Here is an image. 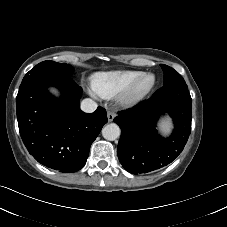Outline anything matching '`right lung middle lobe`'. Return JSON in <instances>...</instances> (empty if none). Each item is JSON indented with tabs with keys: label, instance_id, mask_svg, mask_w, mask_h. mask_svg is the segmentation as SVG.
<instances>
[{
	"label": "right lung middle lobe",
	"instance_id": "obj_1",
	"mask_svg": "<svg viewBox=\"0 0 227 227\" xmlns=\"http://www.w3.org/2000/svg\"><path fill=\"white\" fill-rule=\"evenodd\" d=\"M72 66L64 63H57L54 61H43L31 69L24 78L37 74H54L68 76L72 71Z\"/></svg>",
	"mask_w": 227,
	"mask_h": 227
}]
</instances>
